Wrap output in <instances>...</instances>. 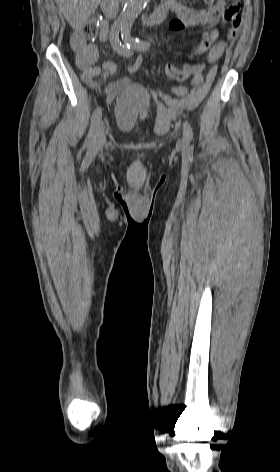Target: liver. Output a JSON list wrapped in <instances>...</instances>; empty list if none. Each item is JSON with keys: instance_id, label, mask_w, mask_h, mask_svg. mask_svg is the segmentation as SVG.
Returning <instances> with one entry per match:
<instances>
[{"instance_id": "6515ba94", "label": "liver", "mask_w": 280, "mask_h": 472, "mask_svg": "<svg viewBox=\"0 0 280 472\" xmlns=\"http://www.w3.org/2000/svg\"><path fill=\"white\" fill-rule=\"evenodd\" d=\"M56 3L70 26L80 29L95 12L100 0H56Z\"/></svg>"}]
</instances>
